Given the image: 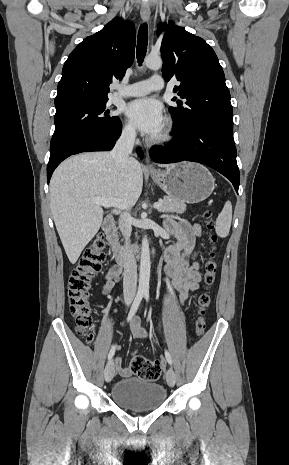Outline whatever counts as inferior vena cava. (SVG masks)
I'll list each match as a JSON object with an SVG mask.
<instances>
[{"label":"inferior vena cava","instance_id":"obj_1","mask_svg":"<svg viewBox=\"0 0 289 465\" xmlns=\"http://www.w3.org/2000/svg\"><path fill=\"white\" fill-rule=\"evenodd\" d=\"M136 132L133 127L123 130L120 138L111 152L118 166H123L132 153ZM132 217L129 213L123 212L119 218V228L125 239L124 244V273H123V293L127 302L132 301L137 289V264L130 246V236L132 232Z\"/></svg>","mask_w":289,"mask_h":465}]
</instances>
